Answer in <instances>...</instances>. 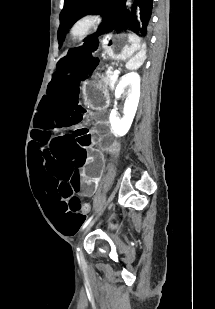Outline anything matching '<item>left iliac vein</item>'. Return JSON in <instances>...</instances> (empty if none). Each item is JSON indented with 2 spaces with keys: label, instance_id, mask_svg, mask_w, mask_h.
I'll return each instance as SVG.
<instances>
[{
  "label": "left iliac vein",
  "instance_id": "4c4485c4",
  "mask_svg": "<svg viewBox=\"0 0 215 309\" xmlns=\"http://www.w3.org/2000/svg\"><path fill=\"white\" fill-rule=\"evenodd\" d=\"M97 217L94 218L85 228H84V234L83 236L87 233V231L90 230V228L92 227V225L94 224V222L96 221ZM82 241V240H81ZM81 241H80V246H81ZM81 251H80V255H81Z\"/></svg>",
  "mask_w": 215,
  "mask_h": 309
}]
</instances>
